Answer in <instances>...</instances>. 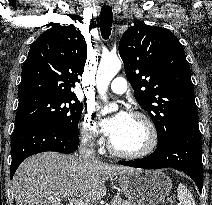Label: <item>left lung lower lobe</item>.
<instances>
[{
  "label": "left lung lower lobe",
  "mask_w": 212,
  "mask_h": 205,
  "mask_svg": "<svg viewBox=\"0 0 212 205\" xmlns=\"http://www.w3.org/2000/svg\"><path fill=\"white\" fill-rule=\"evenodd\" d=\"M202 142L198 116L180 122L170 137L149 156L134 161H119L122 165L144 169L172 167L188 174L200 192L203 186Z\"/></svg>",
  "instance_id": "1"
}]
</instances>
